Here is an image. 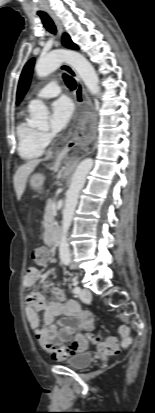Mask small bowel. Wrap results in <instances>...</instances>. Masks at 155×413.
<instances>
[{
	"label": "small bowel",
	"instance_id": "1",
	"mask_svg": "<svg viewBox=\"0 0 155 413\" xmlns=\"http://www.w3.org/2000/svg\"><path fill=\"white\" fill-rule=\"evenodd\" d=\"M44 240L51 242V230L44 233ZM42 277V270L37 266H30L27 269L24 286L32 288ZM50 300H47L41 293H31L27 298L26 317L30 328L34 331L37 341L44 347L47 342L58 345L71 340L73 334L78 330H91L94 327L95 319L91 313L81 309L80 305L66 298L60 287L50 289ZM43 312L42 324L39 312ZM63 316L58 324L54 320L56 316ZM87 341H83L80 347L69 354H78L86 350Z\"/></svg>",
	"mask_w": 155,
	"mask_h": 413
}]
</instances>
